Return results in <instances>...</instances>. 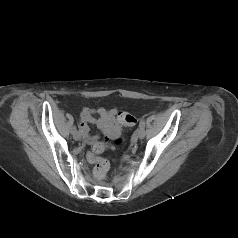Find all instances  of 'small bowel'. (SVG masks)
I'll return each instance as SVG.
<instances>
[{
	"instance_id": "obj_1",
	"label": "small bowel",
	"mask_w": 238,
	"mask_h": 238,
	"mask_svg": "<svg viewBox=\"0 0 238 238\" xmlns=\"http://www.w3.org/2000/svg\"><path fill=\"white\" fill-rule=\"evenodd\" d=\"M120 113L122 112H118L116 109H82L80 113V130L86 142L92 145L93 149L104 143L99 141L98 136H90L89 124H96L108 139H115L120 135L122 127V124L117 120Z\"/></svg>"
}]
</instances>
